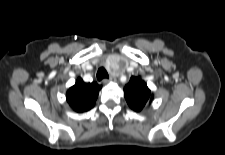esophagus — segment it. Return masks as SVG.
<instances>
[{
	"mask_svg": "<svg viewBox=\"0 0 225 155\" xmlns=\"http://www.w3.org/2000/svg\"><path fill=\"white\" fill-rule=\"evenodd\" d=\"M114 80V77H110V78H105V79H103V83L104 84H107V83H109V82H111V81H113Z\"/></svg>",
	"mask_w": 225,
	"mask_h": 155,
	"instance_id": "34e87169",
	"label": "esophagus"
}]
</instances>
